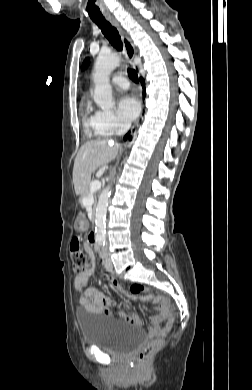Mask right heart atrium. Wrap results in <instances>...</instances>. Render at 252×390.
<instances>
[{"instance_id":"1","label":"right heart atrium","mask_w":252,"mask_h":390,"mask_svg":"<svg viewBox=\"0 0 252 390\" xmlns=\"http://www.w3.org/2000/svg\"><path fill=\"white\" fill-rule=\"evenodd\" d=\"M94 117L95 131L103 137L118 134L127 127L126 123L112 112L97 111Z\"/></svg>"}]
</instances>
